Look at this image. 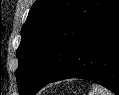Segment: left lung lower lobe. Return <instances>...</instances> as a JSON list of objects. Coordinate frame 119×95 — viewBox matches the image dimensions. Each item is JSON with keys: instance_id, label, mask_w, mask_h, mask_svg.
<instances>
[{"instance_id": "left-lung-lower-lobe-1", "label": "left lung lower lobe", "mask_w": 119, "mask_h": 95, "mask_svg": "<svg viewBox=\"0 0 119 95\" xmlns=\"http://www.w3.org/2000/svg\"><path fill=\"white\" fill-rule=\"evenodd\" d=\"M68 78L90 80L119 95V0L87 30L67 66L49 83Z\"/></svg>"}]
</instances>
